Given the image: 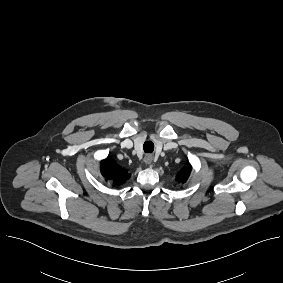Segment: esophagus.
I'll list each match as a JSON object with an SVG mask.
<instances>
[{"label": "esophagus", "instance_id": "obj_1", "mask_svg": "<svg viewBox=\"0 0 283 283\" xmlns=\"http://www.w3.org/2000/svg\"><path fill=\"white\" fill-rule=\"evenodd\" d=\"M144 161L146 164H152L153 162V155L152 154H146L144 157Z\"/></svg>", "mask_w": 283, "mask_h": 283}]
</instances>
